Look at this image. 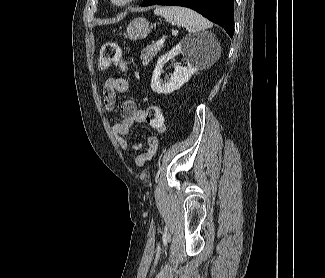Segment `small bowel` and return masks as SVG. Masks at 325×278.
Returning <instances> with one entry per match:
<instances>
[{
	"label": "small bowel",
	"instance_id": "c3829d8e",
	"mask_svg": "<svg viewBox=\"0 0 325 278\" xmlns=\"http://www.w3.org/2000/svg\"><path fill=\"white\" fill-rule=\"evenodd\" d=\"M128 87V81L120 77L109 78L105 82L103 87V101L107 112H112L115 109L117 94L126 92ZM145 116L146 111L143 108L138 107L135 101L125 100L122 103L120 108V119L114 123L113 131L116 136L120 138V145L123 149L128 148L130 145L127 136L133 124L144 123ZM146 144L147 150L139 153L136 157V163L140 166L152 161L158 152V142L155 137L149 136ZM132 148L136 151H141L143 145L141 143H135L132 145Z\"/></svg>",
	"mask_w": 325,
	"mask_h": 278
}]
</instances>
